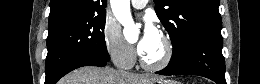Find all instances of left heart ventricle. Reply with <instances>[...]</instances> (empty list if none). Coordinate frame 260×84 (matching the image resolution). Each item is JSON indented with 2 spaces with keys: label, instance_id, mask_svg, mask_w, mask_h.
I'll return each instance as SVG.
<instances>
[{
  "label": "left heart ventricle",
  "instance_id": "obj_1",
  "mask_svg": "<svg viewBox=\"0 0 260 84\" xmlns=\"http://www.w3.org/2000/svg\"><path fill=\"white\" fill-rule=\"evenodd\" d=\"M163 55L164 45L160 36L157 37V39L153 42V44L150 46L148 50L141 54L143 59L149 63H155L160 61Z\"/></svg>",
  "mask_w": 260,
  "mask_h": 84
}]
</instances>
